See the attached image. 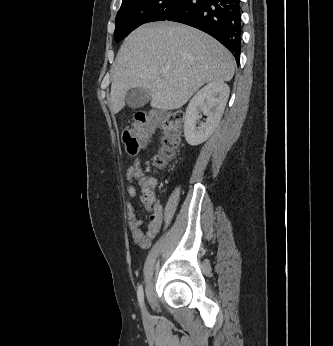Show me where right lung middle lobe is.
<instances>
[{"mask_svg":"<svg viewBox=\"0 0 333 346\" xmlns=\"http://www.w3.org/2000/svg\"><path fill=\"white\" fill-rule=\"evenodd\" d=\"M183 0H123L116 16L114 37L117 42L140 25L168 18Z\"/></svg>","mask_w":333,"mask_h":346,"instance_id":"right-lung-middle-lobe-1","label":"right lung middle lobe"}]
</instances>
